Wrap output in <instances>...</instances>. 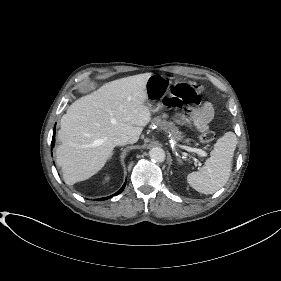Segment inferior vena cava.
<instances>
[{"label": "inferior vena cava", "instance_id": "602c4592", "mask_svg": "<svg viewBox=\"0 0 281 281\" xmlns=\"http://www.w3.org/2000/svg\"><path fill=\"white\" fill-rule=\"evenodd\" d=\"M113 142L115 145H125V144L130 143V138L125 134H121V135L116 136L113 139Z\"/></svg>", "mask_w": 281, "mask_h": 281}]
</instances>
